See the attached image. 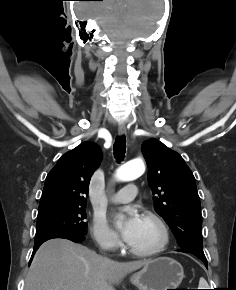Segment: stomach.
Segmentation results:
<instances>
[{
    "label": "stomach",
    "mask_w": 236,
    "mask_h": 290,
    "mask_svg": "<svg viewBox=\"0 0 236 290\" xmlns=\"http://www.w3.org/2000/svg\"><path fill=\"white\" fill-rule=\"evenodd\" d=\"M184 278L182 265L170 258L159 257L149 260L146 265L130 277L139 290L177 289Z\"/></svg>",
    "instance_id": "obj_1"
}]
</instances>
